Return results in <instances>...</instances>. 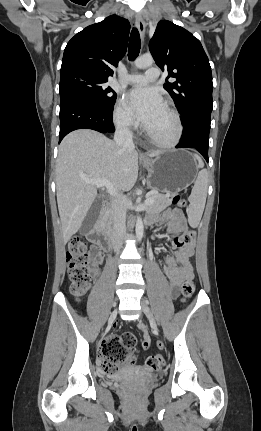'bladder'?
Here are the masks:
<instances>
[{
  "instance_id": "31cf9c89",
  "label": "bladder",
  "mask_w": 261,
  "mask_h": 431,
  "mask_svg": "<svg viewBox=\"0 0 261 431\" xmlns=\"http://www.w3.org/2000/svg\"><path fill=\"white\" fill-rule=\"evenodd\" d=\"M146 382H150V379H146Z\"/></svg>"
}]
</instances>
